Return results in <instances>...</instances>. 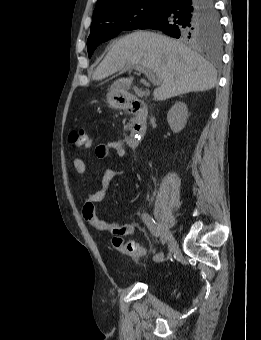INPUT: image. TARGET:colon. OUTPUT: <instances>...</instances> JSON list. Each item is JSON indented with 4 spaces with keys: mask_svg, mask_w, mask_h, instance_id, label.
Returning a JSON list of instances; mask_svg holds the SVG:
<instances>
[{
    "mask_svg": "<svg viewBox=\"0 0 261 340\" xmlns=\"http://www.w3.org/2000/svg\"><path fill=\"white\" fill-rule=\"evenodd\" d=\"M88 135L83 127L75 128L70 134V142L75 146L80 147L83 145ZM113 248L125 255L139 258L144 255V249L134 241H125L122 237L114 236L112 239Z\"/></svg>",
    "mask_w": 261,
    "mask_h": 340,
    "instance_id": "colon-1",
    "label": "colon"
}]
</instances>
